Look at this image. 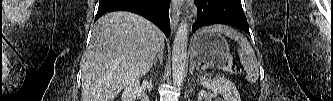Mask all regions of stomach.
<instances>
[{
  "label": "stomach",
  "mask_w": 333,
  "mask_h": 101,
  "mask_svg": "<svg viewBox=\"0 0 333 101\" xmlns=\"http://www.w3.org/2000/svg\"><path fill=\"white\" fill-rule=\"evenodd\" d=\"M191 51L198 61L211 66L224 65L230 55L226 39L218 32L209 30L195 34Z\"/></svg>",
  "instance_id": "1"
}]
</instances>
